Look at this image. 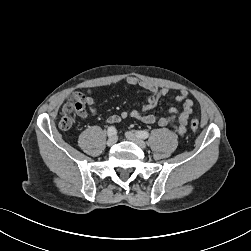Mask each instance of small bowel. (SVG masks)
Returning <instances> with one entry per match:
<instances>
[{"label": "small bowel", "instance_id": "1", "mask_svg": "<svg viewBox=\"0 0 251 251\" xmlns=\"http://www.w3.org/2000/svg\"><path fill=\"white\" fill-rule=\"evenodd\" d=\"M126 83L130 86L140 87L150 93L145 104L141 109H134L131 111H123L120 115H111L105 119L108 124L118 123L123 119L132 118L134 120L143 122L145 124L158 123L161 127H173L179 135H184L187 131V124L190 115L193 113L194 103L190 99L187 91H180L175 99L177 102L182 103V111H178L175 107L169 109L168 115L158 118L154 114L150 113L153 110L159 99L166 96L169 93V89L165 87H159L153 83L141 80L134 76H128ZM80 96L83 103L87 106L88 110L92 114H96L95 99L88 91L86 96L81 94H74L73 97ZM176 122V124H175Z\"/></svg>", "mask_w": 251, "mask_h": 251}]
</instances>
